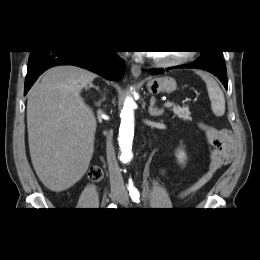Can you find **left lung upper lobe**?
<instances>
[{
  "label": "left lung upper lobe",
  "instance_id": "left-lung-upper-lobe-1",
  "mask_svg": "<svg viewBox=\"0 0 260 260\" xmlns=\"http://www.w3.org/2000/svg\"><path fill=\"white\" fill-rule=\"evenodd\" d=\"M202 53H205V52H207V51H201ZM212 52H217V53H219V51H212Z\"/></svg>",
  "mask_w": 260,
  "mask_h": 260
}]
</instances>
